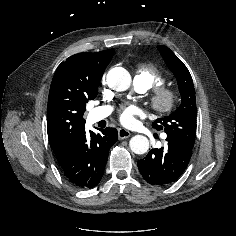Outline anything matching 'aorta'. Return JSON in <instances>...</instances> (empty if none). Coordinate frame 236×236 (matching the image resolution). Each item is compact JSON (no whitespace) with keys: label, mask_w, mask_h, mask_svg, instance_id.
<instances>
[{"label":"aorta","mask_w":236,"mask_h":236,"mask_svg":"<svg viewBox=\"0 0 236 236\" xmlns=\"http://www.w3.org/2000/svg\"><path fill=\"white\" fill-rule=\"evenodd\" d=\"M107 83L113 90L125 91L131 85V76L124 68H113L107 75ZM129 146L132 152L141 155L148 151L149 140L143 135H135L130 139Z\"/></svg>","instance_id":"762f6f07"}]
</instances>
